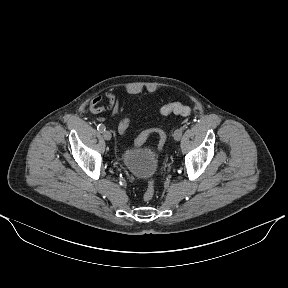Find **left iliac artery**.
Returning <instances> with one entry per match:
<instances>
[{
	"instance_id": "44dca946",
	"label": "left iliac artery",
	"mask_w": 288,
	"mask_h": 288,
	"mask_svg": "<svg viewBox=\"0 0 288 288\" xmlns=\"http://www.w3.org/2000/svg\"><path fill=\"white\" fill-rule=\"evenodd\" d=\"M179 131H180V132H183V131H184V126H183V125H180V126H179Z\"/></svg>"
}]
</instances>
